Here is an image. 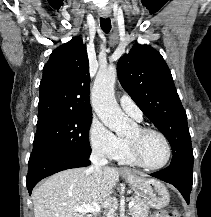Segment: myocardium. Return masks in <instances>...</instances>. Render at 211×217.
<instances>
[{
    "instance_id": "f54148a6",
    "label": "myocardium",
    "mask_w": 211,
    "mask_h": 217,
    "mask_svg": "<svg viewBox=\"0 0 211 217\" xmlns=\"http://www.w3.org/2000/svg\"><path fill=\"white\" fill-rule=\"evenodd\" d=\"M137 129H138L139 137H142L148 133H155L159 135L163 139L166 145L167 156H166L165 161L160 165H156V166L148 165L142 159L140 148H139V141L137 139L133 140V139L128 138L127 142H128L129 152H130L131 158L134 161V163L147 170H160L166 167L168 163L170 162L171 156H172V148H171V144L167 136L162 131L155 129V128H151V127L140 126Z\"/></svg>"
}]
</instances>
